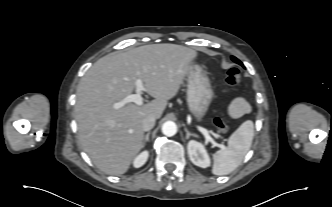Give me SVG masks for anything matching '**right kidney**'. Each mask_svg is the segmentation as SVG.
<instances>
[{"mask_svg":"<svg viewBox=\"0 0 332 207\" xmlns=\"http://www.w3.org/2000/svg\"><path fill=\"white\" fill-rule=\"evenodd\" d=\"M149 153L148 151H143L142 153H140L133 161V166L135 168H139L141 166H143L147 159H148Z\"/></svg>","mask_w":332,"mask_h":207,"instance_id":"1","label":"right kidney"}]
</instances>
